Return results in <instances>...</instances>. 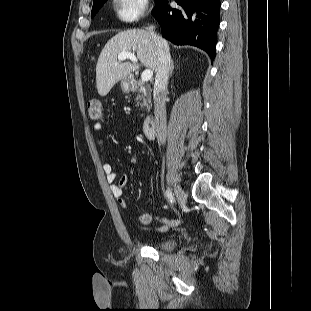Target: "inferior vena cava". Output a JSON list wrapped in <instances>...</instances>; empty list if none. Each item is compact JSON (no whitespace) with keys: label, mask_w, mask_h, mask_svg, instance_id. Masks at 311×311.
Instances as JSON below:
<instances>
[{"label":"inferior vena cava","mask_w":311,"mask_h":311,"mask_svg":"<svg viewBox=\"0 0 311 311\" xmlns=\"http://www.w3.org/2000/svg\"><path fill=\"white\" fill-rule=\"evenodd\" d=\"M153 26L149 27V32L154 40L157 49V69L154 83V114L156 121L157 139L160 144H165L167 136L166 122V93L168 86V77L170 71L171 57L167 42L159 37L154 31Z\"/></svg>","instance_id":"obj_1"}]
</instances>
